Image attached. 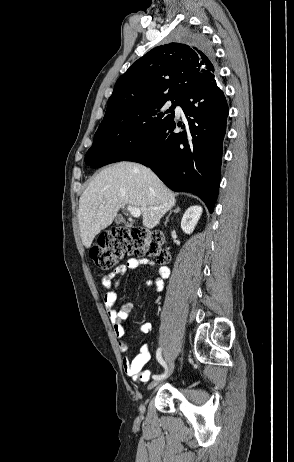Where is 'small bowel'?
Returning <instances> with one entry per match:
<instances>
[{"instance_id": "small-bowel-1", "label": "small bowel", "mask_w": 294, "mask_h": 462, "mask_svg": "<svg viewBox=\"0 0 294 462\" xmlns=\"http://www.w3.org/2000/svg\"><path fill=\"white\" fill-rule=\"evenodd\" d=\"M140 265L144 267H154L155 262L148 258H131L125 264L117 266L112 272L104 275L101 279V285L105 289L104 306L110 321L113 326L114 334L118 341V347L121 352H127L129 342L125 338V322L133 312L132 303H124L119 308H116L117 294L116 290L120 285V278L129 270H135ZM170 275V270L167 266H160L158 275L146 281V285L153 287L160 292L164 287V280ZM151 323H143L139 327L142 334H147L151 331ZM150 360V352L147 344H143L140 348V353L134 358L128 356L123 359V369L126 375L134 381L146 382L151 377V372L144 369V366Z\"/></svg>"}]
</instances>
